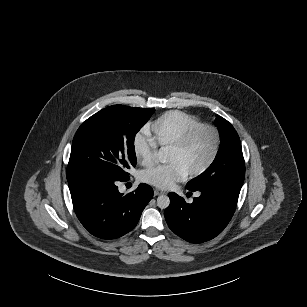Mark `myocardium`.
Returning a JSON list of instances; mask_svg holds the SVG:
<instances>
[{"label":"myocardium","instance_id":"obj_1","mask_svg":"<svg viewBox=\"0 0 307 307\" xmlns=\"http://www.w3.org/2000/svg\"><path fill=\"white\" fill-rule=\"evenodd\" d=\"M206 131H210L214 134V136H215V147H214L211 155L209 156V158L201 166H199L195 170L188 173V175L190 177H197V176L203 174L216 161V159H217V157H218V155L221 151L222 145H223V136H222L221 131L215 126H204V127L198 128V129L190 132L189 134H187L183 138H181V139L177 140L176 142L167 146V149H170V150H173V151H183L193 141H195L202 133H204Z\"/></svg>","mask_w":307,"mask_h":307}]
</instances>
